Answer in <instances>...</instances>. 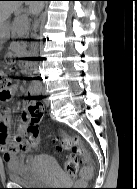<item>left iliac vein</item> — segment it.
<instances>
[{
	"label": "left iliac vein",
	"mask_w": 137,
	"mask_h": 189,
	"mask_svg": "<svg viewBox=\"0 0 137 189\" xmlns=\"http://www.w3.org/2000/svg\"><path fill=\"white\" fill-rule=\"evenodd\" d=\"M42 93H43L44 95L46 94L45 89H42ZM45 104H46L47 106H49L50 101H49V100H46V101H45Z\"/></svg>",
	"instance_id": "left-iliac-vein-1"
}]
</instances>
